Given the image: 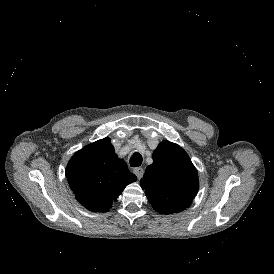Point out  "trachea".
<instances>
[{
  "mask_svg": "<svg viewBox=\"0 0 274 274\" xmlns=\"http://www.w3.org/2000/svg\"><path fill=\"white\" fill-rule=\"evenodd\" d=\"M143 158L140 153L135 152L130 159L131 167H139L142 164Z\"/></svg>",
  "mask_w": 274,
  "mask_h": 274,
  "instance_id": "obj_1",
  "label": "trachea"
}]
</instances>
